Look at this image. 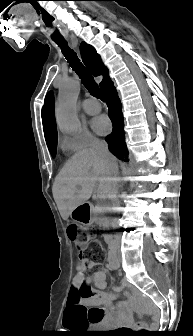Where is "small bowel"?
<instances>
[{
    "mask_svg": "<svg viewBox=\"0 0 193 336\" xmlns=\"http://www.w3.org/2000/svg\"><path fill=\"white\" fill-rule=\"evenodd\" d=\"M93 263L78 261L77 273L72 279L68 296L64 325L70 327L81 323L84 326L103 325L110 327L123 321L130 323V305L132 298L115 302L122 287H115L107 292L106 273L104 270H93ZM90 288L93 294L83 297L82 291Z\"/></svg>",
    "mask_w": 193,
    "mask_h": 336,
    "instance_id": "obj_1",
    "label": "small bowel"
}]
</instances>
